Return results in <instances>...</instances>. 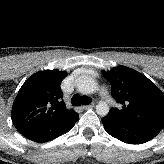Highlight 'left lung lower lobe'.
<instances>
[{
	"mask_svg": "<svg viewBox=\"0 0 164 164\" xmlns=\"http://www.w3.org/2000/svg\"><path fill=\"white\" fill-rule=\"evenodd\" d=\"M102 123L107 133L118 140L129 144L145 143L154 138L160 132L128 123L112 113L103 117Z\"/></svg>",
	"mask_w": 164,
	"mask_h": 164,
	"instance_id": "0a47b994",
	"label": "left lung lower lobe"
}]
</instances>
